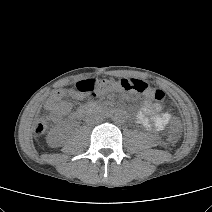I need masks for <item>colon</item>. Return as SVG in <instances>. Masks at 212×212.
Wrapping results in <instances>:
<instances>
[{
	"instance_id": "5ec220e1",
	"label": "colon",
	"mask_w": 212,
	"mask_h": 212,
	"mask_svg": "<svg viewBox=\"0 0 212 212\" xmlns=\"http://www.w3.org/2000/svg\"><path fill=\"white\" fill-rule=\"evenodd\" d=\"M75 87L78 92L85 94L88 97H93L98 93H103L106 91H110L112 93L126 91L143 93L149 95L156 101H161L164 99V92L160 88L143 80L131 78H118L106 81L93 77L77 82ZM46 128L47 121L45 119H40L36 122L34 130L37 135H41L45 132ZM178 129L179 124L175 122L173 126V135L171 136L172 140H175V135Z\"/></svg>"
}]
</instances>
